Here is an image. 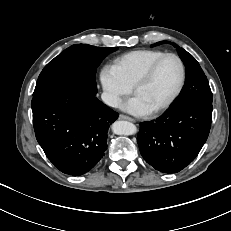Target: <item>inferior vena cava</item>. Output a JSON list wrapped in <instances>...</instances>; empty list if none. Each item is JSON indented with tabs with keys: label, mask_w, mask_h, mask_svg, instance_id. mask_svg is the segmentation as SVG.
<instances>
[{
	"label": "inferior vena cava",
	"mask_w": 231,
	"mask_h": 231,
	"mask_svg": "<svg viewBox=\"0 0 231 231\" xmlns=\"http://www.w3.org/2000/svg\"><path fill=\"white\" fill-rule=\"evenodd\" d=\"M105 104L111 107H117L119 105V98L113 94L104 92L101 96Z\"/></svg>",
	"instance_id": "inferior-vena-cava-1"
}]
</instances>
